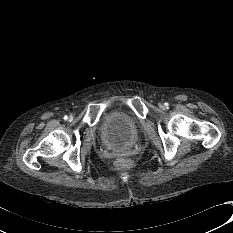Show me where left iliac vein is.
Masks as SVG:
<instances>
[{
    "mask_svg": "<svg viewBox=\"0 0 233 233\" xmlns=\"http://www.w3.org/2000/svg\"><path fill=\"white\" fill-rule=\"evenodd\" d=\"M159 107H160L161 109H164V108H165V106H164L163 104H159Z\"/></svg>",
    "mask_w": 233,
    "mask_h": 233,
    "instance_id": "1",
    "label": "left iliac vein"
}]
</instances>
